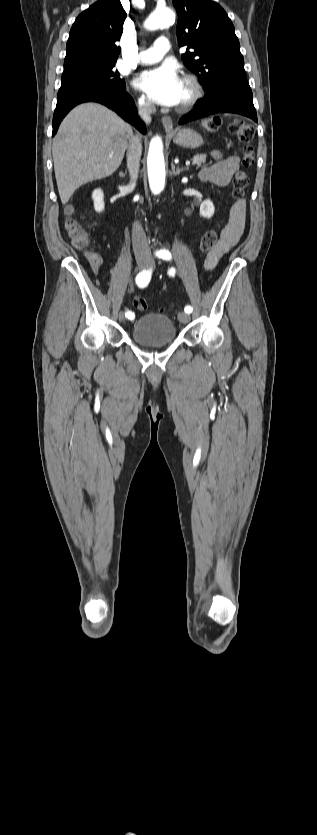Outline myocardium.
Listing matches in <instances>:
<instances>
[{
    "label": "myocardium",
    "mask_w": 317,
    "mask_h": 835,
    "mask_svg": "<svg viewBox=\"0 0 317 835\" xmlns=\"http://www.w3.org/2000/svg\"><path fill=\"white\" fill-rule=\"evenodd\" d=\"M183 83L187 87L188 96L183 102L178 104L177 110L179 112H186L192 109L203 95L202 86L195 76L185 75L183 77Z\"/></svg>",
    "instance_id": "obj_1"
}]
</instances>
